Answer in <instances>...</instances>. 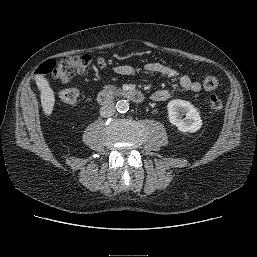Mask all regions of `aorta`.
I'll return each mask as SVG.
<instances>
[{"instance_id":"aorta-1","label":"aorta","mask_w":257,"mask_h":257,"mask_svg":"<svg viewBox=\"0 0 257 257\" xmlns=\"http://www.w3.org/2000/svg\"><path fill=\"white\" fill-rule=\"evenodd\" d=\"M116 109L119 113H126L129 110V103L127 100H118Z\"/></svg>"}]
</instances>
